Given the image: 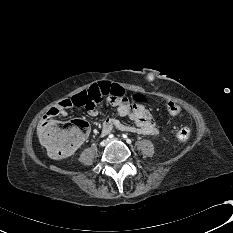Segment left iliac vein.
Returning a JSON list of instances; mask_svg holds the SVG:
<instances>
[{"label":"left iliac vein","mask_w":233,"mask_h":233,"mask_svg":"<svg viewBox=\"0 0 233 233\" xmlns=\"http://www.w3.org/2000/svg\"><path fill=\"white\" fill-rule=\"evenodd\" d=\"M112 140H118V138L111 139V141H112Z\"/></svg>","instance_id":"obj_1"}]
</instances>
